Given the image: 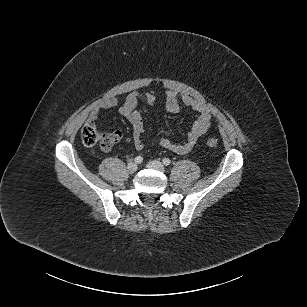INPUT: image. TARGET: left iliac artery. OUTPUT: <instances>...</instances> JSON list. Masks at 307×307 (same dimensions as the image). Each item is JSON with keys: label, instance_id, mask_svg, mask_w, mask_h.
I'll use <instances>...</instances> for the list:
<instances>
[{"label": "left iliac artery", "instance_id": "obj_1", "mask_svg": "<svg viewBox=\"0 0 307 307\" xmlns=\"http://www.w3.org/2000/svg\"><path fill=\"white\" fill-rule=\"evenodd\" d=\"M162 162H163V164H164L165 166H168V165H170L171 160H170L169 158H164V159L162 160Z\"/></svg>", "mask_w": 307, "mask_h": 307}]
</instances>
